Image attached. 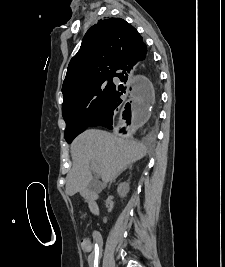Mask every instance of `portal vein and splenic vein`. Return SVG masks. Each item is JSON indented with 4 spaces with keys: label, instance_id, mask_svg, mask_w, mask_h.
<instances>
[{
    "label": "portal vein and splenic vein",
    "instance_id": "1",
    "mask_svg": "<svg viewBox=\"0 0 225 267\" xmlns=\"http://www.w3.org/2000/svg\"><path fill=\"white\" fill-rule=\"evenodd\" d=\"M91 167H92V169H93L95 172L98 171V167L96 166V163H95V162H92V163H91Z\"/></svg>",
    "mask_w": 225,
    "mask_h": 267
}]
</instances>
